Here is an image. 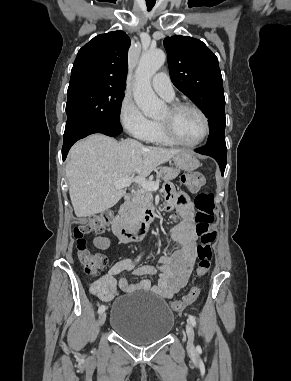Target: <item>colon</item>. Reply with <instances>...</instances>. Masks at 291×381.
<instances>
[{"label": "colon", "mask_w": 291, "mask_h": 381, "mask_svg": "<svg viewBox=\"0 0 291 381\" xmlns=\"http://www.w3.org/2000/svg\"><path fill=\"white\" fill-rule=\"evenodd\" d=\"M183 182L190 191L197 192L205 185V179L198 173H187L183 176ZM197 209L195 215L196 233L200 238V245L197 248L198 265L196 274L204 277L208 274L212 261V245L214 244L217 232L214 229L215 204L214 196L209 192H199L195 198ZM112 214L109 211L100 212L90 216L86 221L75 226L73 235L76 240L78 257L83 264L88 275L95 276L107 264V257L102 254H95L87 249L86 236L104 232L110 222ZM199 295V289L193 287L183 298L172 302V309L175 312H182L188 305L193 303Z\"/></svg>", "instance_id": "colon-1"}]
</instances>
